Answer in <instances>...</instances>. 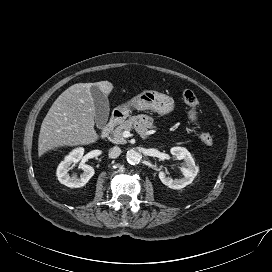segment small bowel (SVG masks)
<instances>
[{
    "instance_id": "1",
    "label": "small bowel",
    "mask_w": 272,
    "mask_h": 272,
    "mask_svg": "<svg viewBox=\"0 0 272 272\" xmlns=\"http://www.w3.org/2000/svg\"><path fill=\"white\" fill-rule=\"evenodd\" d=\"M151 123L147 119H142L139 123L138 129L142 135H146Z\"/></svg>"
}]
</instances>
